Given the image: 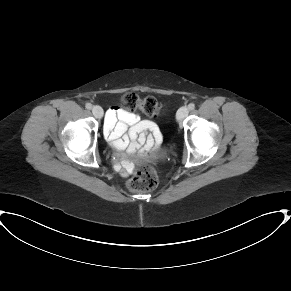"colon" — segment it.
I'll list each match as a JSON object with an SVG mask.
<instances>
[{"instance_id":"5ec220e1","label":"colon","mask_w":291,"mask_h":291,"mask_svg":"<svg viewBox=\"0 0 291 291\" xmlns=\"http://www.w3.org/2000/svg\"><path fill=\"white\" fill-rule=\"evenodd\" d=\"M122 105L127 110L140 109L146 115L156 117L161 114L162 107L153 97L141 98L134 93L127 94L122 99ZM159 180L156 172L143 164L137 166L133 178L128 182V188L137 193L155 189Z\"/></svg>"}]
</instances>
